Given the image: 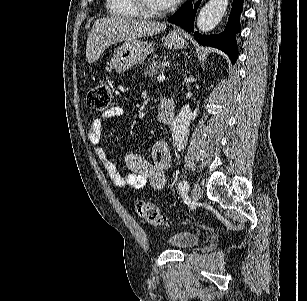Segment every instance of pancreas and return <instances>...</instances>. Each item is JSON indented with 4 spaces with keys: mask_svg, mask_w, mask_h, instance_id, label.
<instances>
[{
    "mask_svg": "<svg viewBox=\"0 0 307 301\" xmlns=\"http://www.w3.org/2000/svg\"><path fill=\"white\" fill-rule=\"evenodd\" d=\"M165 62H161V60H152L149 66L145 68V76H155V74H160L163 72L162 68H164Z\"/></svg>",
    "mask_w": 307,
    "mask_h": 301,
    "instance_id": "cf45deb5",
    "label": "pancreas"
}]
</instances>
